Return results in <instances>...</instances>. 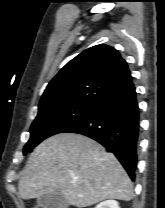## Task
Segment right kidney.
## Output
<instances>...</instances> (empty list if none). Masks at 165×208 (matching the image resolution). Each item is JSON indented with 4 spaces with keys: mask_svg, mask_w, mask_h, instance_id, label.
Returning a JSON list of instances; mask_svg holds the SVG:
<instances>
[{
    "mask_svg": "<svg viewBox=\"0 0 165 208\" xmlns=\"http://www.w3.org/2000/svg\"><path fill=\"white\" fill-rule=\"evenodd\" d=\"M95 208H120L119 204L115 200H106L99 203Z\"/></svg>",
    "mask_w": 165,
    "mask_h": 208,
    "instance_id": "obj_1",
    "label": "right kidney"
}]
</instances>
